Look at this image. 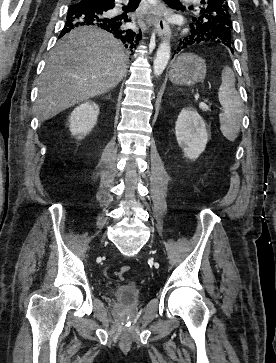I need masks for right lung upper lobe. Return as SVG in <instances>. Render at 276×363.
Here are the masks:
<instances>
[{
    "instance_id": "right-lung-upper-lobe-1",
    "label": "right lung upper lobe",
    "mask_w": 276,
    "mask_h": 363,
    "mask_svg": "<svg viewBox=\"0 0 276 363\" xmlns=\"http://www.w3.org/2000/svg\"><path fill=\"white\" fill-rule=\"evenodd\" d=\"M76 1V0H73ZM100 1H105V2H114V0H100Z\"/></svg>"
}]
</instances>
